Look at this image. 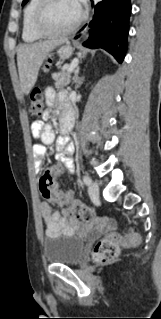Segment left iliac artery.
Masks as SVG:
<instances>
[{
  "label": "left iliac artery",
  "mask_w": 161,
  "mask_h": 319,
  "mask_svg": "<svg viewBox=\"0 0 161 319\" xmlns=\"http://www.w3.org/2000/svg\"><path fill=\"white\" fill-rule=\"evenodd\" d=\"M83 182L86 184V185H89L91 183V178L88 176V175H84L83 176Z\"/></svg>",
  "instance_id": "left-iliac-artery-1"
}]
</instances>
